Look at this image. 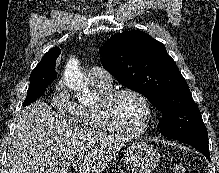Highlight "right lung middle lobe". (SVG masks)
Segmentation results:
<instances>
[{
	"label": "right lung middle lobe",
	"instance_id": "dd1d6c3e",
	"mask_svg": "<svg viewBox=\"0 0 219 173\" xmlns=\"http://www.w3.org/2000/svg\"><path fill=\"white\" fill-rule=\"evenodd\" d=\"M57 75L46 73L44 71H37L30 75V85L27 91V97L23 106L29 105L31 102L36 101L44 93L48 85L55 80Z\"/></svg>",
	"mask_w": 219,
	"mask_h": 173
}]
</instances>
